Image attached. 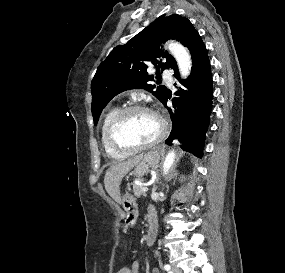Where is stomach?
I'll return each instance as SVG.
<instances>
[{"label": "stomach", "mask_w": 285, "mask_h": 273, "mask_svg": "<svg viewBox=\"0 0 285 273\" xmlns=\"http://www.w3.org/2000/svg\"><path fill=\"white\" fill-rule=\"evenodd\" d=\"M161 153L159 150H152L147 152L143 158L136 164L131 175L135 177H142L152 166L160 160ZM129 190V188H128ZM122 205L126 211L125 223H130L137 217V205L133 196L126 191L122 198Z\"/></svg>", "instance_id": "stomach-1"}]
</instances>
